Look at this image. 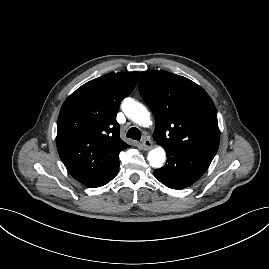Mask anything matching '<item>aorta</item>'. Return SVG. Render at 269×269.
<instances>
[{
    "instance_id": "aorta-1",
    "label": "aorta",
    "mask_w": 269,
    "mask_h": 269,
    "mask_svg": "<svg viewBox=\"0 0 269 269\" xmlns=\"http://www.w3.org/2000/svg\"><path fill=\"white\" fill-rule=\"evenodd\" d=\"M122 110L130 120L140 126H146L150 122L147 108L131 98L124 100ZM147 159L151 167L161 168L166 161V152L163 147L157 146L149 151Z\"/></svg>"
}]
</instances>
